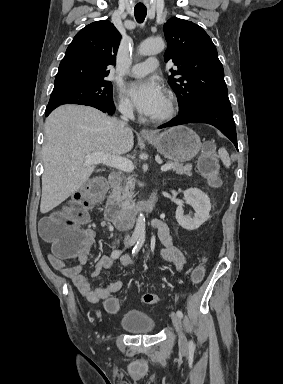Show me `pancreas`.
I'll list each match as a JSON object with an SVG mask.
<instances>
[{
  "mask_svg": "<svg viewBox=\"0 0 283 384\" xmlns=\"http://www.w3.org/2000/svg\"><path fill=\"white\" fill-rule=\"evenodd\" d=\"M167 164H172V170L176 172V174H186V176H192V166L187 164H178V162H167ZM133 188H135V178L129 176L126 178V182L122 184V186H115L112 190V198H114L116 204L121 206L123 212H131L132 208H134L133 202Z\"/></svg>",
  "mask_w": 283,
  "mask_h": 384,
  "instance_id": "obj_1",
  "label": "pancreas"
}]
</instances>
